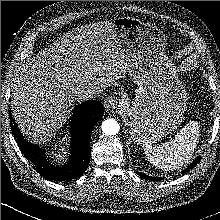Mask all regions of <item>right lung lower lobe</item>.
<instances>
[{
  "label": "right lung lower lobe",
  "mask_w": 220,
  "mask_h": 220,
  "mask_svg": "<svg viewBox=\"0 0 220 220\" xmlns=\"http://www.w3.org/2000/svg\"><path fill=\"white\" fill-rule=\"evenodd\" d=\"M103 114L102 104L93 100L83 102L74 109L70 121L72 145L69 161L59 167L46 159L45 152L39 146L29 143L24 138L9 111L11 131L22 154L41 176L53 181H69L85 172L91 155V132Z\"/></svg>",
  "instance_id": "right-lung-lower-lobe-1"
}]
</instances>
